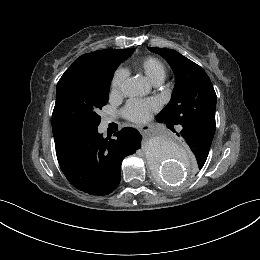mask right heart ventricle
Instances as JSON below:
<instances>
[{
	"mask_svg": "<svg viewBox=\"0 0 260 260\" xmlns=\"http://www.w3.org/2000/svg\"><path fill=\"white\" fill-rule=\"evenodd\" d=\"M137 67L153 84L162 83L167 76V67L164 62L153 56L139 60Z\"/></svg>",
	"mask_w": 260,
	"mask_h": 260,
	"instance_id": "1",
	"label": "right heart ventricle"
}]
</instances>
